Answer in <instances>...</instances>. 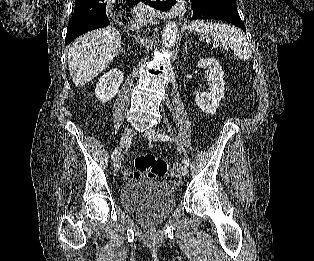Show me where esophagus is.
Segmentation results:
<instances>
[{"label":"esophagus","instance_id":"34e87169","mask_svg":"<svg viewBox=\"0 0 314 261\" xmlns=\"http://www.w3.org/2000/svg\"><path fill=\"white\" fill-rule=\"evenodd\" d=\"M167 3H169V2H167ZM183 6H184V4H183L182 0H177V3L175 5H173L170 9L163 11L162 13L164 14L165 17H171L174 15L181 16L184 12Z\"/></svg>","mask_w":314,"mask_h":261}]
</instances>
